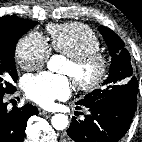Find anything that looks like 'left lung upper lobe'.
<instances>
[{
    "instance_id": "5c2ea615",
    "label": "left lung upper lobe",
    "mask_w": 142,
    "mask_h": 142,
    "mask_svg": "<svg viewBox=\"0 0 142 142\" xmlns=\"http://www.w3.org/2000/svg\"><path fill=\"white\" fill-rule=\"evenodd\" d=\"M100 33L108 44L112 56L108 78L103 82V87L87 94L84 99L77 102L79 105H86L93 101L121 94L124 92H138V82L133 73L131 58L123 41L111 29L102 26Z\"/></svg>"
}]
</instances>
